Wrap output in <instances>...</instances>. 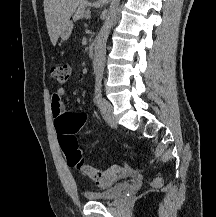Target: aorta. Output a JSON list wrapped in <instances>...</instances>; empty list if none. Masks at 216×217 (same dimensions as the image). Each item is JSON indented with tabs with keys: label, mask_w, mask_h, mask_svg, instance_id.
I'll list each match as a JSON object with an SVG mask.
<instances>
[{
	"label": "aorta",
	"mask_w": 216,
	"mask_h": 217,
	"mask_svg": "<svg viewBox=\"0 0 216 217\" xmlns=\"http://www.w3.org/2000/svg\"><path fill=\"white\" fill-rule=\"evenodd\" d=\"M120 0H110L108 14L98 34L94 47L93 70L96 77H102L105 67L106 43L113 25Z\"/></svg>",
	"instance_id": "1"
}]
</instances>
